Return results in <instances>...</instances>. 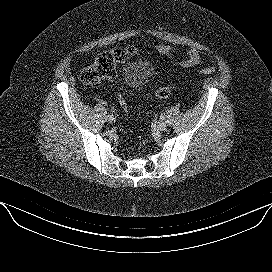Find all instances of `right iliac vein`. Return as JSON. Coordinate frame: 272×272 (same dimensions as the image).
Returning a JSON list of instances; mask_svg holds the SVG:
<instances>
[{
	"label": "right iliac vein",
	"mask_w": 272,
	"mask_h": 272,
	"mask_svg": "<svg viewBox=\"0 0 272 272\" xmlns=\"http://www.w3.org/2000/svg\"><path fill=\"white\" fill-rule=\"evenodd\" d=\"M108 121H109L110 123H114V122H115V118H114L113 116L108 117Z\"/></svg>",
	"instance_id": "1"
}]
</instances>
